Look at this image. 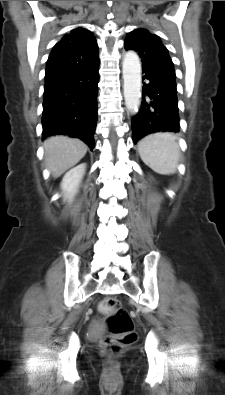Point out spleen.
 <instances>
[{
  "label": "spleen",
  "instance_id": "spleen-1",
  "mask_svg": "<svg viewBox=\"0 0 225 395\" xmlns=\"http://www.w3.org/2000/svg\"><path fill=\"white\" fill-rule=\"evenodd\" d=\"M176 139V136L169 132L146 136L138 144L142 161L156 173L174 174L180 158V148Z\"/></svg>",
  "mask_w": 225,
  "mask_h": 395
}]
</instances>
